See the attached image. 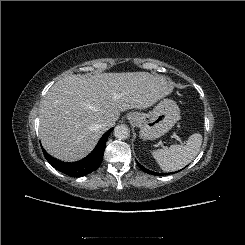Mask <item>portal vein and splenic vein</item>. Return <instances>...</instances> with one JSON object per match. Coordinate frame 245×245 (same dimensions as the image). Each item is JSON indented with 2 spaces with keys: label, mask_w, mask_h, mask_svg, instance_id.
Wrapping results in <instances>:
<instances>
[{
  "label": "portal vein and splenic vein",
  "mask_w": 245,
  "mask_h": 245,
  "mask_svg": "<svg viewBox=\"0 0 245 245\" xmlns=\"http://www.w3.org/2000/svg\"><path fill=\"white\" fill-rule=\"evenodd\" d=\"M172 137L174 139H176L177 141H179L181 144H183L182 141H181V139L176 134H173Z\"/></svg>",
  "instance_id": "18ae733b"
}]
</instances>
